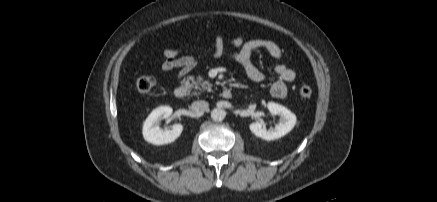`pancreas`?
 Returning a JSON list of instances; mask_svg holds the SVG:
<instances>
[{"label": "pancreas", "instance_id": "obj_1", "mask_svg": "<svg viewBox=\"0 0 437 202\" xmlns=\"http://www.w3.org/2000/svg\"><path fill=\"white\" fill-rule=\"evenodd\" d=\"M183 84L188 89H196V90H210L212 85L208 81H204L202 77L195 78L194 76H188L187 80H183ZM194 95H197L199 93L193 92Z\"/></svg>", "mask_w": 437, "mask_h": 202}]
</instances>
